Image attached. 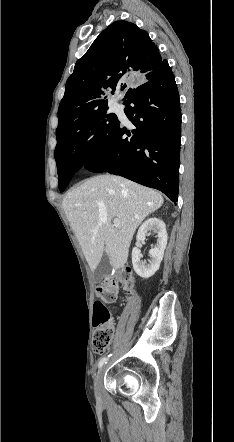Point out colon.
I'll use <instances>...</instances> for the list:
<instances>
[{"mask_svg":"<svg viewBox=\"0 0 234 442\" xmlns=\"http://www.w3.org/2000/svg\"><path fill=\"white\" fill-rule=\"evenodd\" d=\"M119 284H122L127 292L134 290L135 282L130 267L121 268L117 276L105 278L96 288L93 346L98 354H102L108 349L114 336V327L111 324V316L106 304L113 303L117 299Z\"/></svg>","mask_w":234,"mask_h":442,"instance_id":"1","label":"colon"}]
</instances>
